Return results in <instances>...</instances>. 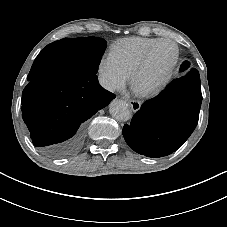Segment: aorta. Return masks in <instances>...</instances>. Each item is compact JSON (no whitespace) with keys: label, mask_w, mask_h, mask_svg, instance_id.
<instances>
[{"label":"aorta","mask_w":227,"mask_h":227,"mask_svg":"<svg viewBox=\"0 0 227 227\" xmlns=\"http://www.w3.org/2000/svg\"><path fill=\"white\" fill-rule=\"evenodd\" d=\"M109 112L118 121H127L131 118L129 105L123 100H113L109 105Z\"/></svg>","instance_id":"aorta-1"}]
</instances>
